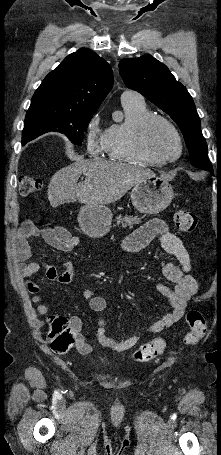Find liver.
<instances>
[{
  "label": "liver",
  "instance_id": "6515ba94",
  "mask_svg": "<svg viewBox=\"0 0 221 455\" xmlns=\"http://www.w3.org/2000/svg\"><path fill=\"white\" fill-rule=\"evenodd\" d=\"M81 174L85 180L77 183ZM154 176L150 169L122 162L77 161L52 176L48 200L52 207L76 200L86 205L110 204L121 199L141 180Z\"/></svg>",
  "mask_w": 221,
  "mask_h": 455
}]
</instances>
